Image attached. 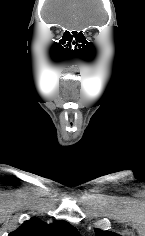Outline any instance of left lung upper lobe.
<instances>
[{
    "label": "left lung upper lobe",
    "instance_id": "left-lung-upper-lobe-1",
    "mask_svg": "<svg viewBox=\"0 0 145 236\" xmlns=\"http://www.w3.org/2000/svg\"><path fill=\"white\" fill-rule=\"evenodd\" d=\"M95 233H96L97 236H120L116 233H113V232H110V231L103 232L99 229H96Z\"/></svg>",
    "mask_w": 145,
    "mask_h": 236
}]
</instances>
